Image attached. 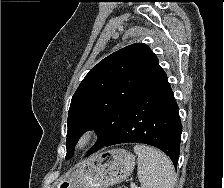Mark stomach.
I'll list each match as a JSON object with an SVG mask.
<instances>
[{"mask_svg":"<svg viewBox=\"0 0 224 188\" xmlns=\"http://www.w3.org/2000/svg\"><path fill=\"white\" fill-rule=\"evenodd\" d=\"M135 157L125 149H109L80 163L64 175L55 188H107L124 181L133 171Z\"/></svg>","mask_w":224,"mask_h":188,"instance_id":"0dacf381","label":"stomach"}]
</instances>
